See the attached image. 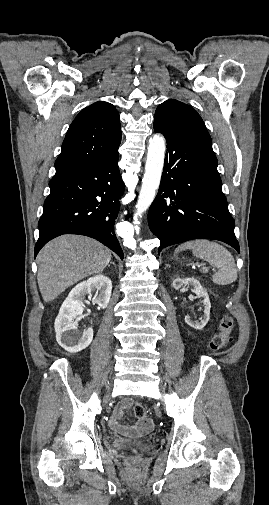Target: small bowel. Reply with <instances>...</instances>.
<instances>
[{
  "label": "small bowel",
  "mask_w": 269,
  "mask_h": 505,
  "mask_svg": "<svg viewBox=\"0 0 269 505\" xmlns=\"http://www.w3.org/2000/svg\"><path fill=\"white\" fill-rule=\"evenodd\" d=\"M130 398L122 399L115 408L114 414L110 419V427L113 431L127 436H142L147 434L153 428L151 419L144 417L138 420L135 426H126L121 423L124 412L132 406Z\"/></svg>",
  "instance_id": "c3829d8e"
}]
</instances>
